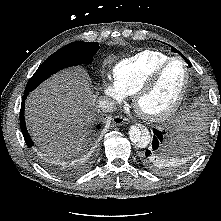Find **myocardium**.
Listing matches in <instances>:
<instances>
[{"instance_id":"obj_1","label":"myocardium","mask_w":221,"mask_h":221,"mask_svg":"<svg viewBox=\"0 0 221 221\" xmlns=\"http://www.w3.org/2000/svg\"><path fill=\"white\" fill-rule=\"evenodd\" d=\"M175 61H180L185 69V82L179 96L168 108L162 111L154 113L143 111L140 107L142 99L155 88V86L158 84L159 80L161 79L166 69ZM190 84H191V74L186 60L179 56L170 57L167 61L161 64L134 93V99H133L134 108L138 112V114L141 115L146 120L152 122L165 120L171 117L174 113H176L177 110L181 107L182 103L184 102L189 92Z\"/></svg>"}]
</instances>
